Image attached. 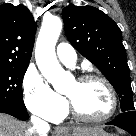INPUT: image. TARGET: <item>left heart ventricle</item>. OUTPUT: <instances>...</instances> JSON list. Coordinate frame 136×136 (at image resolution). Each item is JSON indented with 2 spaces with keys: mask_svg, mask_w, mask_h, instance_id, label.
<instances>
[{
  "mask_svg": "<svg viewBox=\"0 0 136 136\" xmlns=\"http://www.w3.org/2000/svg\"><path fill=\"white\" fill-rule=\"evenodd\" d=\"M65 95L81 114L88 117H100L106 114L111 106L109 92L99 81H72L66 88Z\"/></svg>",
  "mask_w": 136,
  "mask_h": 136,
  "instance_id": "obj_1",
  "label": "left heart ventricle"
}]
</instances>
